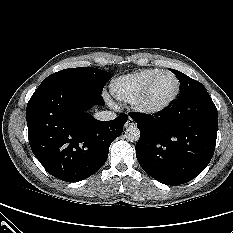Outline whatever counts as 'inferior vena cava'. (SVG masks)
Returning a JSON list of instances; mask_svg holds the SVG:
<instances>
[{"label":"inferior vena cava","mask_w":233,"mask_h":233,"mask_svg":"<svg viewBox=\"0 0 233 233\" xmlns=\"http://www.w3.org/2000/svg\"><path fill=\"white\" fill-rule=\"evenodd\" d=\"M117 117L116 113L111 111H101L95 114V118L100 121H110Z\"/></svg>","instance_id":"obj_1"}]
</instances>
